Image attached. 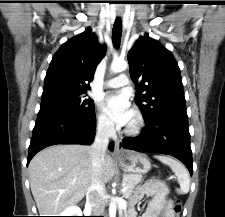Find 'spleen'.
Instances as JSON below:
<instances>
[{
  "mask_svg": "<svg viewBox=\"0 0 225 217\" xmlns=\"http://www.w3.org/2000/svg\"><path fill=\"white\" fill-rule=\"evenodd\" d=\"M155 158L161 161L162 163L168 165L177 176L180 184V189L178 190V193L187 194L190 188V177L184 165L178 162L177 160L165 155H158L155 156Z\"/></svg>",
  "mask_w": 225,
  "mask_h": 217,
  "instance_id": "3e777b00",
  "label": "spleen"
}]
</instances>
